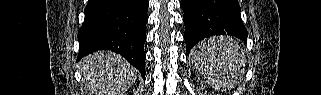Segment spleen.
Masks as SVG:
<instances>
[{
    "label": "spleen",
    "mask_w": 321,
    "mask_h": 95,
    "mask_svg": "<svg viewBox=\"0 0 321 95\" xmlns=\"http://www.w3.org/2000/svg\"><path fill=\"white\" fill-rule=\"evenodd\" d=\"M192 61L214 88L227 90L239 83L246 56L238 40L230 36H217L195 46Z\"/></svg>",
    "instance_id": "spleen-1"
}]
</instances>
